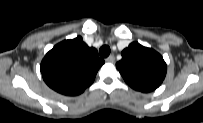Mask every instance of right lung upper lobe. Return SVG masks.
<instances>
[{
  "label": "right lung upper lobe",
  "instance_id": "right-lung-upper-lobe-1",
  "mask_svg": "<svg viewBox=\"0 0 203 123\" xmlns=\"http://www.w3.org/2000/svg\"><path fill=\"white\" fill-rule=\"evenodd\" d=\"M104 64L95 48L88 47L81 36L64 40L44 57L40 71L46 84L64 95H78L89 87Z\"/></svg>",
  "mask_w": 203,
  "mask_h": 123
}]
</instances>
